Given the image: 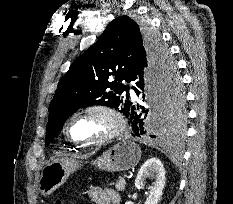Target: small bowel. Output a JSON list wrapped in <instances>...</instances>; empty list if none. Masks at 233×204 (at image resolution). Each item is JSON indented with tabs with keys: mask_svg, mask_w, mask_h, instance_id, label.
I'll list each match as a JSON object with an SVG mask.
<instances>
[{
	"mask_svg": "<svg viewBox=\"0 0 233 204\" xmlns=\"http://www.w3.org/2000/svg\"><path fill=\"white\" fill-rule=\"evenodd\" d=\"M88 196L95 204H119L120 196L114 189L92 187L88 190Z\"/></svg>",
	"mask_w": 233,
	"mask_h": 204,
	"instance_id": "small-bowel-1",
	"label": "small bowel"
}]
</instances>
